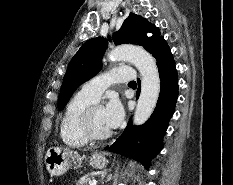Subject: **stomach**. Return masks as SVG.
Wrapping results in <instances>:
<instances>
[{"instance_id":"stomach-1","label":"stomach","mask_w":233,"mask_h":185,"mask_svg":"<svg viewBox=\"0 0 233 185\" xmlns=\"http://www.w3.org/2000/svg\"><path fill=\"white\" fill-rule=\"evenodd\" d=\"M89 162L94 168L102 169L107 165L108 160L103 153L94 152ZM45 164L51 176H61L72 167H81L82 157L69 149L51 147L45 155Z\"/></svg>"}]
</instances>
